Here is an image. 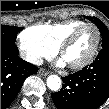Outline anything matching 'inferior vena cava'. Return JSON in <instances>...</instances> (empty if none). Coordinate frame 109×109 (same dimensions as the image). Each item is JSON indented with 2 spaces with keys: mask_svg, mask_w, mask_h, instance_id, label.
Returning a JSON list of instances; mask_svg holds the SVG:
<instances>
[{
  "mask_svg": "<svg viewBox=\"0 0 109 109\" xmlns=\"http://www.w3.org/2000/svg\"><path fill=\"white\" fill-rule=\"evenodd\" d=\"M30 62H32L35 65H42L43 64V60L41 57H32L30 59Z\"/></svg>",
  "mask_w": 109,
  "mask_h": 109,
  "instance_id": "602c4592",
  "label": "inferior vena cava"
}]
</instances>
